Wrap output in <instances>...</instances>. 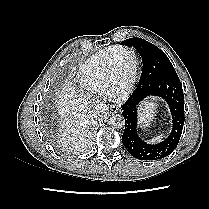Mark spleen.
I'll return each mask as SVG.
<instances>
[{
    "mask_svg": "<svg viewBox=\"0 0 209 209\" xmlns=\"http://www.w3.org/2000/svg\"><path fill=\"white\" fill-rule=\"evenodd\" d=\"M162 137L163 135L157 136L156 138L152 139V142L159 141Z\"/></svg>",
    "mask_w": 209,
    "mask_h": 209,
    "instance_id": "spleen-1",
    "label": "spleen"
}]
</instances>
